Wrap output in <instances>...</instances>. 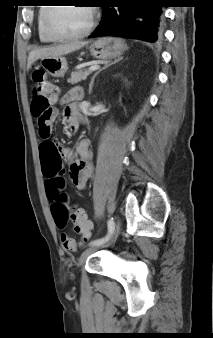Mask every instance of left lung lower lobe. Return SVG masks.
Returning <instances> with one entry per match:
<instances>
[{
    "instance_id": "0a47b994",
    "label": "left lung lower lobe",
    "mask_w": 213,
    "mask_h": 338,
    "mask_svg": "<svg viewBox=\"0 0 213 338\" xmlns=\"http://www.w3.org/2000/svg\"><path fill=\"white\" fill-rule=\"evenodd\" d=\"M102 19L90 38L119 36L159 42L163 36L164 17L161 0H104Z\"/></svg>"
}]
</instances>
